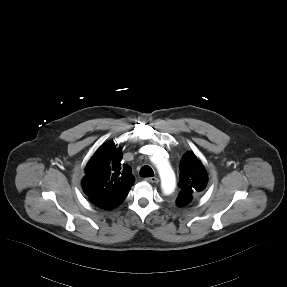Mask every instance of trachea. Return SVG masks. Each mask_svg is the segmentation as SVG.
Wrapping results in <instances>:
<instances>
[{"instance_id": "3493384b", "label": "trachea", "mask_w": 287, "mask_h": 287, "mask_svg": "<svg viewBox=\"0 0 287 287\" xmlns=\"http://www.w3.org/2000/svg\"><path fill=\"white\" fill-rule=\"evenodd\" d=\"M141 177H153L154 172L150 166H143L140 170Z\"/></svg>"}]
</instances>
